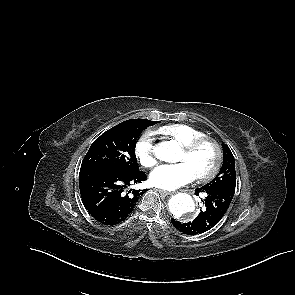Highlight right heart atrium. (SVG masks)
Returning a JSON list of instances; mask_svg holds the SVG:
<instances>
[{"instance_id": "right-heart-atrium-1", "label": "right heart atrium", "mask_w": 295, "mask_h": 295, "mask_svg": "<svg viewBox=\"0 0 295 295\" xmlns=\"http://www.w3.org/2000/svg\"><path fill=\"white\" fill-rule=\"evenodd\" d=\"M135 154L140 164L152 168L158 162L157 152L153 143L152 132H145L136 142Z\"/></svg>"}]
</instances>
